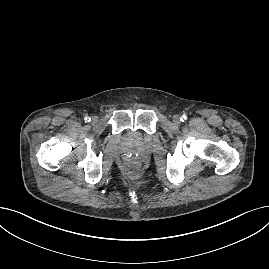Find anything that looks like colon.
<instances>
[{"label":"colon","mask_w":269,"mask_h":269,"mask_svg":"<svg viewBox=\"0 0 269 269\" xmlns=\"http://www.w3.org/2000/svg\"><path fill=\"white\" fill-rule=\"evenodd\" d=\"M129 169H130L131 171H135V170L137 169V165L132 164V165L129 166Z\"/></svg>","instance_id":"colon-1"}]
</instances>
